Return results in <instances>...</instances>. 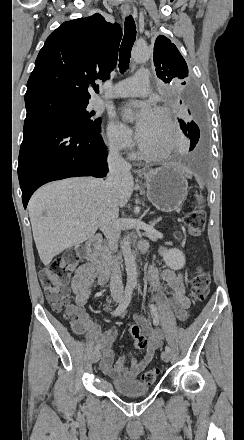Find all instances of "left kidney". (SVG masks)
<instances>
[{
	"label": "left kidney",
	"instance_id": "obj_1",
	"mask_svg": "<svg viewBox=\"0 0 244 440\" xmlns=\"http://www.w3.org/2000/svg\"><path fill=\"white\" fill-rule=\"evenodd\" d=\"M163 260L171 270H181L185 266V256L181 250H177V248H171V250H167L165 254H163Z\"/></svg>",
	"mask_w": 244,
	"mask_h": 440
}]
</instances>
